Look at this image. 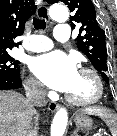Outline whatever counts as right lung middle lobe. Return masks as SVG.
I'll return each mask as SVG.
<instances>
[{"instance_id": "obj_1", "label": "right lung middle lobe", "mask_w": 117, "mask_h": 136, "mask_svg": "<svg viewBox=\"0 0 117 136\" xmlns=\"http://www.w3.org/2000/svg\"><path fill=\"white\" fill-rule=\"evenodd\" d=\"M0 74H20L19 61L8 53L0 54Z\"/></svg>"}]
</instances>
